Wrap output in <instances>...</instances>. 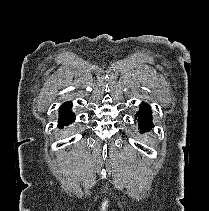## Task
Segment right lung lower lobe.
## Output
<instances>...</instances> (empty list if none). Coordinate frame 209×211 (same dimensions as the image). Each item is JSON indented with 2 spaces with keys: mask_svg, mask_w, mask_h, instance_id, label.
<instances>
[{
  "mask_svg": "<svg viewBox=\"0 0 209 211\" xmlns=\"http://www.w3.org/2000/svg\"><path fill=\"white\" fill-rule=\"evenodd\" d=\"M71 106H72L71 102H67L61 106L59 112V123H58V126L60 128H63L64 125H68L75 120L74 114L70 111Z\"/></svg>",
  "mask_w": 209,
  "mask_h": 211,
  "instance_id": "right-lung-lower-lobe-1",
  "label": "right lung lower lobe"
}]
</instances>
